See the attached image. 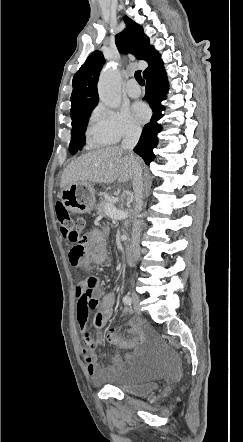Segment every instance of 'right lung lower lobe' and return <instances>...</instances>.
Masks as SVG:
<instances>
[{"label":"right lung lower lobe","instance_id":"1","mask_svg":"<svg viewBox=\"0 0 243 442\" xmlns=\"http://www.w3.org/2000/svg\"><path fill=\"white\" fill-rule=\"evenodd\" d=\"M144 77L147 81L144 100L149 103L153 115L150 122L144 126L134 151L149 165L155 158L153 148L157 145L156 137L161 131V125L157 123L163 116L164 106L161 105V101L166 99L168 91V81L162 60L148 70Z\"/></svg>","mask_w":243,"mask_h":442}]
</instances>
